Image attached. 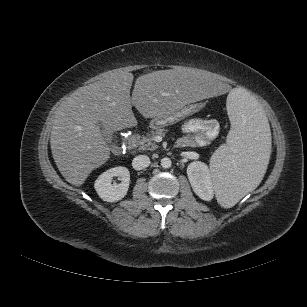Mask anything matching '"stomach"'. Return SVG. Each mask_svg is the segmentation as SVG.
<instances>
[{"label":"stomach","instance_id":"0dacf381","mask_svg":"<svg viewBox=\"0 0 307 307\" xmlns=\"http://www.w3.org/2000/svg\"><path fill=\"white\" fill-rule=\"evenodd\" d=\"M202 107V104L188 105L185 107H181L173 112L153 117V119L150 121L149 126L152 129H162L166 126L179 122L183 118L198 111Z\"/></svg>","mask_w":307,"mask_h":307}]
</instances>
